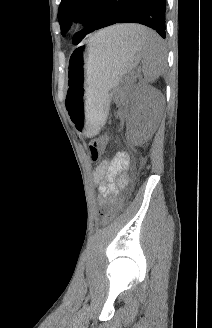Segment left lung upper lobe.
<instances>
[{
  "instance_id": "5c2ea615",
  "label": "left lung upper lobe",
  "mask_w": 212,
  "mask_h": 328,
  "mask_svg": "<svg viewBox=\"0 0 212 328\" xmlns=\"http://www.w3.org/2000/svg\"><path fill=\"white\" fill-rule=\"evenodd\" d=\"M106 0H62L58 9V20L62 35L66 34L73 21L82 20L85 28L75 33L74 44L80 43L97 26Z\"/></svg>"
}]
</instances>
